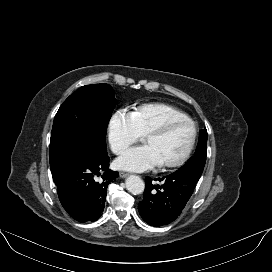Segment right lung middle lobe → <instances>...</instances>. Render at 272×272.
Wrapping results in <instances>:
<instances>
[{
	"mask_svg": "<svg viewBox=\"0 0 272 272\" xmlns=\"http://www.w3.org/2000/svg\"><path fill=\"white\" fill-rule=\"evenodd\" d=\"M117 101L108 84L79 88L60 106L50 139L51 172L80 154L107 152L106 129Z\"/></svg>",
	"mask_w": 272,
	"mask_h": 272,
	"instance_id": "dd1d6c3e",
	"label": "right lung middle lobe"
}]
</instances>
